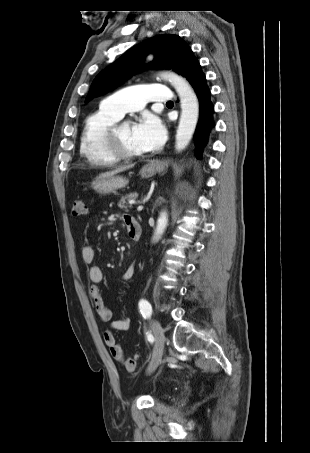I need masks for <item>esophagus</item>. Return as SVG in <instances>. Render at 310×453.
Segmentation results:
<instances>
[{
	"label": "esophagus",
	"instance_id": "1",
	"mask_svg": "<svg viewBox=\"0 0 310 453\" xmlns=\"http://www.w3.org/2000/svg\"><path fill=\"white\" fill-rule=\"evenodd\" d=\"M150 165H151V166H156L157 164L152 162Z\"/></svg>",
	"mask_w": 310,
	"mask_h": 453
}]
</instances>
